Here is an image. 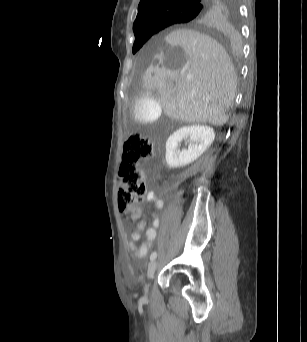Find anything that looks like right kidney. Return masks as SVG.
I'll return each mask as SVG.
<instances>
[{
	"mask_svg": "<svg viewBox=\"0 0 307 342\" xmlns=\"http://www.w3.org/2000/svg\"><path fill=\"white\" fill-rule=\"evenodd\" d=\"M173 48V46H171ZM190 138L188 150H178L179 142ZM215 132L210 126H184L173 132L166 142L165 160L168 168L189 166L211 146Z\"/></svg>",
	"mask_w": 307,
	"mask_h": 342,
	"instance_id": "right-kidney-1",
	"label": "right kidney"
}]
</instances>
